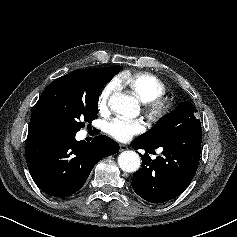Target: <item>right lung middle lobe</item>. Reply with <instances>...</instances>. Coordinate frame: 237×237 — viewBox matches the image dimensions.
<instances>
[{
	"mask_svg": "<svg viewBox=\"0 0 237 237\" xmlns=\"http://www.w3.org/2000/svg\"><path fill=\"white\" fill-rule=\"evenodd\" d=\"M121 66L91 68L92 83L86 87L58 78L47 88L40 112L46 128L77 133L97 118L100 91Z\"/></svg>",
	"mask_w": 237,
	"mask_h": 237,
	"instance_id": "right-lung-middle-lobe-1",
	"label": "right lung middle lobe"
}]
</instances>
